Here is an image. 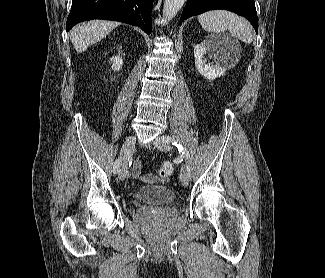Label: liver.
<instances>
[{"mask_svg":"<svg viewBox=\"0 0 325 278\" xmlns=\"http://www.w3.org/2000/svg\"><path fill=\"white\" fill-rule=\"evenodd\" d=\"M119 25L117 22L93 20L77 26L71 31V42L79 53L85 51L90 45L100 41Z\"/></svg>","mask_w":325,"mask_h":278,"instance_id":"obj_1","label":"liver"}]
</instances>
